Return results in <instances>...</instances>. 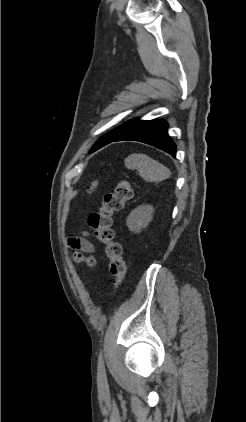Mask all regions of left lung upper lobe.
<instances>
[{
  "label": "left lung upper lobe",
  "instance_id": "obj_1",
  "mask_svg": "<svg viewBox=\"0 0 246 422\" xmlns=\"http://www.w3.org/2000/svg\"><path fill=\"white\" fill-rule=\"evenodd\" d=\"M138 119H133L130 120L118 127H116L115 129L111 130L110 132L106 133L105 135H103L97 142L96 144L92 147L90 152H94L96 151L99 146H101L102 144H104L105 142L109 141V140H114L116 139L118 136H120L123 132H125L128 128H130L135 122H137Z\"/></svg>",
  "mask_w": 246,
  "mask_h": 422
}]
</instances>
